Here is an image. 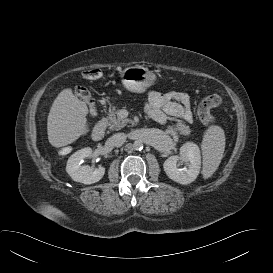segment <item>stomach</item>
I'll return each mask as SVG.
<instances>
[{"mask_svg": "<svg viewBox=\"0 0 273 273\" xmlns=\"http://www.w3.org/2000/svg\"><path fill=\"white\" fill-rule=\"evenodd\" d=\"M122 85L134 93H144L156 82V75L143 66L125 68L120 75Z\"/></svg>", "mask_w": 273, "mask_h": 273, "instance_id": "obj_1", "label": "stomach"}]
</instances>
